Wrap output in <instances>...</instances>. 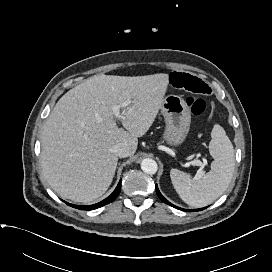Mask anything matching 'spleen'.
Listing matches in <instances>:
<instances>
[{
  "instance_id": "1",
  "label": "spleen",
  "mask_w": 272,
  "mask_h": 272,
  "mask_svg": "<svg viewBox=\"0 0 272 272\" xmlns=\"http://www.w3.org/2000/svg\"><path fill=\"white\" fill-rule=\"evenodd\" d=\"M209 152L214 158L211 170L203 177H190L178 169H171L172 184L181 199L192 207H203L218 199L229 186L235 169L233 145L219 124L211 132Z\"/></svg>"
}]
</instances>
